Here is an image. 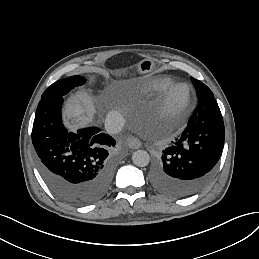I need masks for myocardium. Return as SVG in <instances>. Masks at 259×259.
<instances>
[{
  "instance_id": "myocardium-1",
  "label": "myocardium",
  "mask_w": 259,
  "mask_h": 259,
  "mask_svg": "<svg viewBox=\"0 0 259 259\" xmlns=\"http://www.w3.org/2000/svg\"><path fill=\"white\" fill-rule=\"evenodd\" d=\"M140 82L143 84V86H148L151 82H159V83H165V82H172V81H181L179 78L176 76H169L165 78H160V77H155V78H150V79H139ZM185 83L189 89L190 92V99L189 102L183 107V109L178 113L177 115V120L181 121L185 117L189 115V113L193 110V108L196 105V89L195 87L186 81H181Z\"/></svg>"
}]
</instances>
